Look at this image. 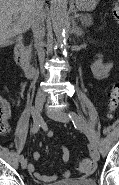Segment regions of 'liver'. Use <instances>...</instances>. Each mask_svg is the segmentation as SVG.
I'll use <instances>...</instances> for the list:
<instances>
[{
  "label": "liver",
  "instance_id": "liver-1",
  "mask_svg": "<svg viewBox=\"0 0 119 185\" xmlns=\"http://www.w3.org/2000/svg\"><path fill=\"white\" fill-rule=\"evenodd\" d=\"M43 4V0H0V47L9 45L11 38L26 32ZM13 16L17 17L14 24Z\"/></svg>",
  "mask_w": 119,
  "mask_h": 185
}]
</instances>
